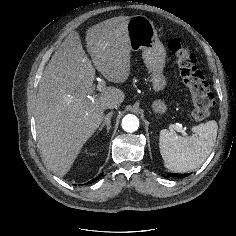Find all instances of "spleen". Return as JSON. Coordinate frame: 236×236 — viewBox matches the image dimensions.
<instances>
[{"mask_svg": "<svg viewBox=\"0 0 236 236\" xmlns=\"http://www.w3.org/2000/svg\"><path fill=\"white\" fill-rule=\"evenodd\" d=\"M217 130L214 120L194 126L195 134L189 137L161 130L159 148L165 167L174 172H188L199 167L213 149Z\"/></svg>", "mask_w": 236, "mask_h": 236, "instance_id": "3e777b00", "label": "spleen"}]
</instances>
